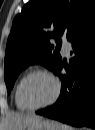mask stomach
<instances>
[{"instance_id": "1", "label": "stomach", "mask_w": 95, "mask_h": 130, "mask_svg": "<svg viewBox=\"0 0 95 130\" xmlns=\"http://www.w3.org/2000/svg\"><path fill=\"white\" fill-rule=\"evenodd\" d=\"M25 130H61V125L57 121L41 118L31 122Z\"/></svg>"}]
</instances>
